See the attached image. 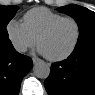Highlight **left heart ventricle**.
<instances>
[{
	"label": "left heart ventricle",
	"mask_w": 95,
	"mask_h": 95,
	"mask_svg": "<svg viewBox=\"0 0 95 95\" xmlns=\"http://www.w3.org/2000/svg\"><path fill=\"white\" fill-rule=\"evenodd\" d=\"M76 36L77 28L75 23L64 21L40 41L39 47L45 55L57 57L72 47Z\"/></svg>",
	"instance_id": "b2bd125f"
}]
</instances>
